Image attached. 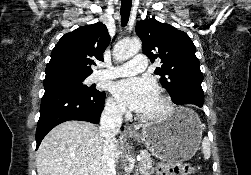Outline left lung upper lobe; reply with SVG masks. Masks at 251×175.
I'll list each match as a JSON object with an SVG mask.
<instances>
[{
  "instance_id": "5c2ea615",
  "label": "left lung upper lobe",
  "mask_w": 251,
  "mask_h": 175,
  "mask_svg": "<svg viewBox=\"0 0 251 175\" xmlns=\"http://www.w3.org/2000/svg\"><path fill=\"white\" fill-rule=\"evenodd\" d=\"M135 31L151 62L161 60L162 66L154 73L161 77L160 83L171 98L182 92L204 97L203 74L195 55V45L185 32L154 18L139 21Z\"/></svg>"
}]
</instances>
